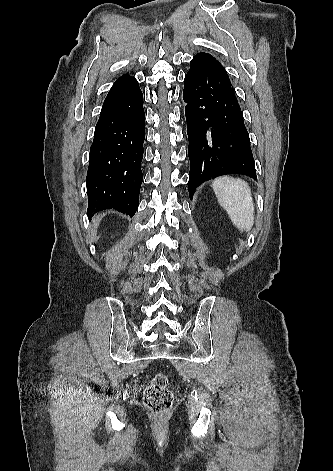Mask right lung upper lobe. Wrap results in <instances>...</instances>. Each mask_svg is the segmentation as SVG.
Wrapping results in <instances>:
<instances>
[{"instance_id":"1","label":"right lung upper lobe","mask_w":333,"mask_h":471,"mask_svg":"<svg viewBox=\"0 0 333 471\" xmlns=\"http://www.w3.org/2000/svg\"><path fill=\"white\" fill-rule=\"evenodd\" d=\"M128 74L122 75L117 81L124 79Z\"/></svg>"}]
</instances>
